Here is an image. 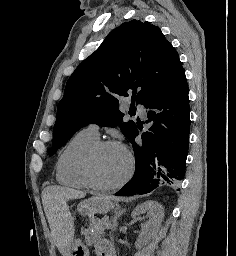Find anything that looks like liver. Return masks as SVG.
Here are the masks:
<instances>
[{
	"instance_id": "6515ba94",
	"label": "liver",
	"mask_w": 236,
	"mask_h": 256,
	"mask_svg": "<svg viewBox=\"0 0 236 256\" xmlns=\"http://www.w3.org/2000/svg\"><path fill=\"white\" fill-rule=\"evenodd\" d=\"M84 196H86L85 192H78V190H71V188H62V186H48V188H44L42 192L43 208L50 230L56 240L58 238L57 224L60 218L61 206L68 202V200H72V198H84ZM67 214L70 228L69 238L72 240L74 234L73 222L70 212H67ZM58 248L63 256H68L67 252L61 248V244H58Z\"/></svg>"
}]
</instances>
